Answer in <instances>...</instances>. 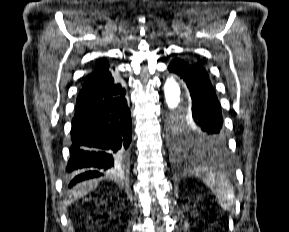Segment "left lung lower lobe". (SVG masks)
Here are the masks:
<instances>
[{
    "label": "left lung lower lobe",
    "mask_w": 289,
    "mask_h": 232,
    "mask_svg": "<svg viewBox=\"0 0 289 232\" xmlns=\"http://www.w3.org/2000/svg\"><path fill=\"white\" fill-rule=\"evenodd\" d=\"M168 70L182 79L190 93L191 107L187 119L208 139L215 151L225 150L227 136L220 104L204 66L193 60L175 58Z\"/></svg>",
    "instance_id": "1"
}]
</instances>
